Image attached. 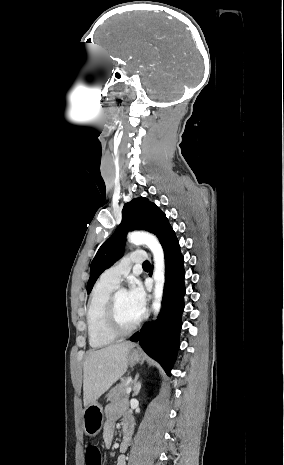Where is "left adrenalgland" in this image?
Instances as JSON below:
<instances>
[{"label": "left adrenal gland", "mask_w": 284, "mask_h": 465, "mask_svg": "<svg viewBox=\"0 0 284 465\" xmlns=\"http://www.w3.org/2000/svg\"><path fill=\"white\" fill-rule=\"evenodd\" d=\"M138 379H139V375L137 373L134 381H132L131 383V387L133 389V395L132 397H136V395H138L140 389H141V383H138Z\"/></svg>", "instance_id": "obj_1"}]
</instances>
